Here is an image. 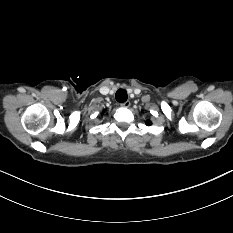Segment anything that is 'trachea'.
I'll list each match as a JSON object with an SVG mask.
<instances>
[{"label":"trachea","instance_id":"trachea-1","mask_svg":"<svg viewBox=\"0 0 233 233\" xmlns=\"http://www.w3.org/2000/svg\"><path fill=\"white\" fill-rule=\"evenodd\" d=\"M115 98L118 102L123 103L127 100L128 95L125 89H119L117 90L115 94Z\"/></svg>","mask_w":233,"mask_h":233}]
</instances>
